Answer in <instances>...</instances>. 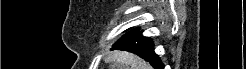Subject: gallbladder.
Listing matches in <instances>:
<instances>
[{
	"mask_svg": "<svg viewBox=\"0 0 246 69\" xmlns=\"http://www.w3.org/2000/svg\"><path fill=\"white\" fill-rule=\"evenodd\" d=\"M110 68H111V69H115V67H111V66H110Z\"/></svg>",
	"mask_w": 246,
	"mask_h": 69,
	"instance_id": "bac80fb5",
	"label": "gallbladder"
}]
</instances>
